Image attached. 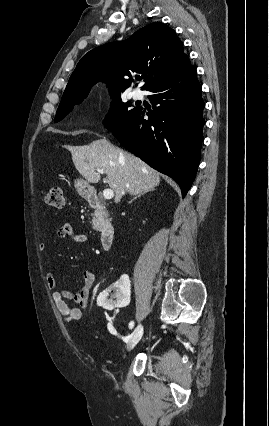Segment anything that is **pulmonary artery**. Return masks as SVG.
<instances>
[{"label":"pulmonary artery","instance_id":"e3ab8cb5","mask_svg":"<svg viewBox=\"0 0 269 426\" xmlns=\"http://www.w3.org/2000/svg\"><path fill=\"white\" fill-rule=\"evenodd\" d=\"M131 95H132V97H133L134 99H139V98H141V97H142V92H141V91H139V90H134V91L131 93Z\"/></svg>","mask_w":269,"mask_h":426}]
</instances>
